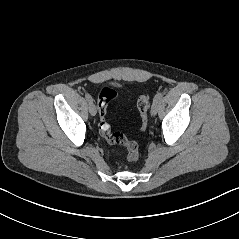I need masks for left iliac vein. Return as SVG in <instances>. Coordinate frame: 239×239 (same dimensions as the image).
I'll return each instance as SVG.
<instances>
[{
	"label": "left iliac vein",
	"mask_w": 239,
	"mask_h": 239,
	"mask_svg": "<svg viewBox=\"0 0 239 239\" xmlns=\"http://www.w3.org/2000/svg\"><path fill=\"white\" fill-rule=\"evenodd\" d=\"M158 111V101H153L151 105V115L155 116Z\"/></svg>",
	"instance_id": "obj_1"
}]
</instances>
